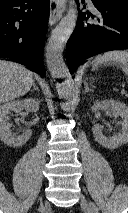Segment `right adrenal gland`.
<instances>
[{
  "instance_id": "1",
  "label": "right adrenal gland",
  "mask_w": 128,
  "mask_h": 213,
  "mask_svg": "<svg viewBox=\"0 0 128 213\" xmlns=\"http://www.w3.org/2000/svg\"><path fill=\"white\" fill-rule=\"evenodd\" d=\"M35 90H36L37 92H39V88L36 86V83L34 82V83H33V89H32L31 91L33 92V91H35Z\"/></svg>"
}]
</instances>
